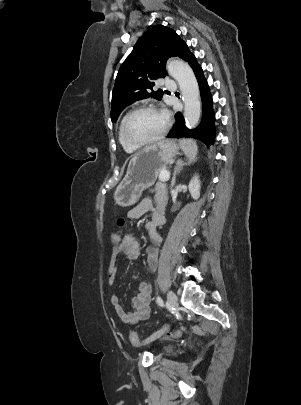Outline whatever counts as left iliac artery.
<instances>
[{
	"label": "left iliac artery",
	"mask_w": 301,
	"mask_h": 405,
	"mask_svg": "<svg viewBox=\"0 0 301 405\" xmlns=\"http://www.w3.org/2000/svg\"><path fill=\"white\" fill-rule=\"evenodd\" d=\"M156 301H157V303H158L159 306H161V307L164 306L163 300L161 299L160 296L157 297V300H156Z\"/></svg>",
	"instance_id": "left-iliac-artery-1"
}]
</instances>
